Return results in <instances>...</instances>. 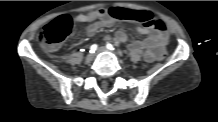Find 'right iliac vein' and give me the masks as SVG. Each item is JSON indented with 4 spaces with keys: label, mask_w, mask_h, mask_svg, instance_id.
I'll use <instances>...</instances> for the list:
<instances>
[{
    "label": "right iliac vein",
    "mask_w": 218,
    "mask_h": 122,
    "mask_svg": "<svg viewBox=\"0 0 218 122\" xmlns=\"http://www.w3.org/2000/svg\"><path fill=\"white\" fill-rule=\"evenodd\" d=\"M93 60V55L91 53H89L86 58H85V64H90Z\"/></svg>",
    "instance_id": "obj_1"
}]
</instances>
